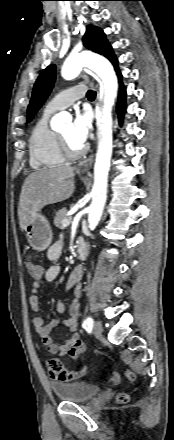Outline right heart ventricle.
<instances>
[{
    "label": "right heart ventricle",
    "mask_w": 174,
    "mask_h": 440,
    "mask_svg": "<svg viewBox=\"0 0 174 440\" xmlns=\"http://www.w3.org/2000/svg\"><path fill=\"white\" fill-rule=\"evenodd\" d=\"M50 115L51 112L45 110L33 126L29 136V160L34 169L55 168L65 162L58 133L48 125Z\"/></svg>",
    "instance_id": "1"
}]
</instances>
